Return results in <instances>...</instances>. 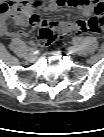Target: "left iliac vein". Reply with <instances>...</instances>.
<instances>
[{
	"label": "left iliac vein",
	"mask_w": 104,
	"mask_h": 137,
	"mask_svg": "<svg viewBox=\"0 0 104 137\" xmlns=\"http://www.w3.org/2000/svg\"><path fill=\"white\" fill-rule=\"evenodd\" d=\"M68 52H69L70 54L74 55V54L77 53V49H76L75 47H73V46H70V47L68 48Z\"/></svg>",
	"instance_id": "1"
}]
</instances>
